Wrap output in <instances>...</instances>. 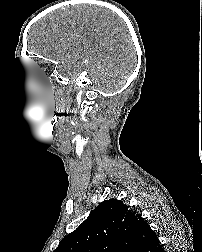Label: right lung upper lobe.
Wrapping results in <instances>:
<instances>
[{"label":"right lung upper lobe","mask_w":202,"mask_h":252,"mask_svg":"<svg viewBox=\"0 0 202 252\" xmlns=\"http://www.w3.org/2000/svg\"><path fill=\"white\" fill-rule=\"evenodd\" d=\"M161 246L135 210L121 200L109 199L64 237L54 252H157Z\"/></svg>","instance_id":"obj_1"}]
</instances>
